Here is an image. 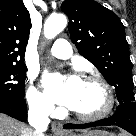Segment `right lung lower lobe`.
<instances>
[{
	"mask_svg": "<svg viewBox=\"0 0 136 136\" xmlns=\"http://www.w3.org/2000/svg\"><path fill=\"white\" fill-rule=\"evenodd\" d=\"M0 113L7 114L17 120L25 122L27 120V106L25 100L22 101H0Z\"/></svg>",
	"mask_w": 136,
	"mask_h": 136,
	"instance_id": "right-lung-lower-lobe-1",
	"label": "right lung lower lobe"
}]
</instances>
